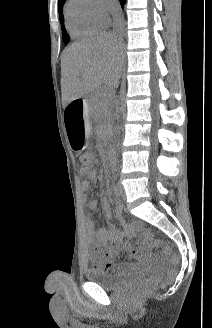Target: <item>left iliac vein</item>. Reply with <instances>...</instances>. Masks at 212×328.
Returning <instances> with one entry per match:
<instances>
[{
    "instance_id": "4c4485c4",
    "label": "left iliac vein",
    "mask_w": 212,
    "mask_h": 328,
    "mask_svg": "<svg viewBox=\"0 0 212 328\" xmlns=\"http://www.w3.org/2000/svg\"><path fill=\"white\" fill-rule=\"evenodd\" d=\"M119 190H120L122 198L125 199V191H124V188L121 184H119Z\"/></svg>"
}]
</instances>
